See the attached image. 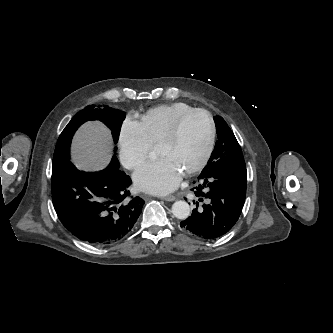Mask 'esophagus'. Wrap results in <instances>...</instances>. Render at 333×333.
Instances as JSON below:
<instances>
[{"instance_id":"1","label":"esophagus","mask_w":333,"mask_h":333,"mask_svg":"<svg viewBox=\"0 0 333 333\" xmlns=\"http://www.w3.org/2000/svg\"><path fill=\"white\" fill-rule=\"evenodd\" d=\"M142 198L147 199V198H149V196L148 195H142ZM161 199L171 202V201H174L176 199V197L173 196V195H170V196L161 197Z\"/></svg>"}]
</instances>
